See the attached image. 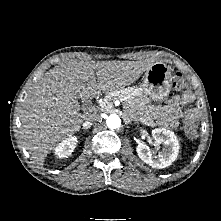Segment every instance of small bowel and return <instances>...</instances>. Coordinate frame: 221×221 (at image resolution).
Listing matches in <instances>:
<instances>
[{
	"mask_svg": "<svg viewBox=\"0 0 221 221\" xmlns=\"http://www.w3.org/2000/svg\"><path fill=\"white\" fill-rule=\"evenodd\" d=\"M193 99V94L189 91L182 96H176L171 99L160 116L161 124L169 128H175L178 125L179 118H197V110L187 107L192 103Z\"/></svg>",
	"mask_w": 221,
	"mask_h": 221,
	"instance_id": "small-bowel-1",
	"label": "small bowel"
}]
</instances>
